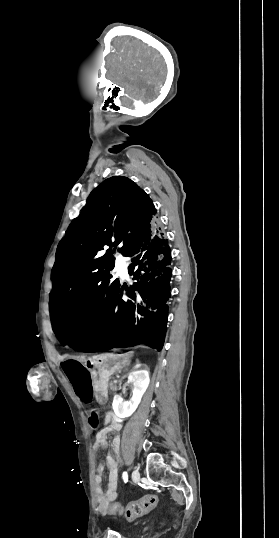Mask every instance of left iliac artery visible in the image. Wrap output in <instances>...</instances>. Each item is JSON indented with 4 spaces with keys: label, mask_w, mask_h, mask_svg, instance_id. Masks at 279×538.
<instances>
[{
    "label": "left iliac artery",
    "mask_w": 279,
    "mask_h": 538,
    "mask_svg": "<svg viewBox=\"0 0 279 538\" xmlns=\"http://www.w3.org/2000/svg\"><path fill=\"white\" fill-rule=\"evenodd\" d=\"M122 478H123L124 482H127V480H128V473H127L126 471L123 472V474H122Z\"/></svg>",
    "instance_id": "left-iliac-artery-1"
}]
</instances>
